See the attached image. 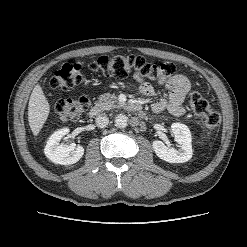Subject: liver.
Segmentation results:
<instances>
[{"label": "liver", "instance_id": "liver-1", "mask_svg": "<svg viewBox=\"0 0 247 247\" xmlns=\"http://www.w3.org/2000/svg\"><path fill=\"white\" fill-rule=\"evenodd\" d=\"M50 113V105L44 92L37 84L31 93L28 104V122L34 136H37Z\"/></svg>", "mask_w": 247, "mask_h": 247}]
</instances>
